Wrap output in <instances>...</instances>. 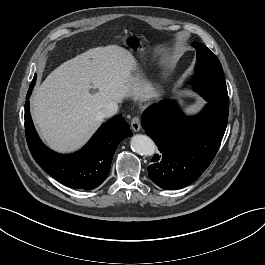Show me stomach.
<instances>
[{
  "mask_svg": "<svg viewBox=\"0 0 265 265\" xmlns=\"http://www.w3.org/2000/svg\"><path fill=\"white\" fill-rule=\"evenodd\" d=\"M127 43L131 46V48L137 50H140L142 48V42L138 39V37L128 38Z\"/></svg>",
  "mask_w": 265,
  "mask_h": 265,
  "instance_id": "obj_1",
  "label": "stomach"
}]
</instances>
